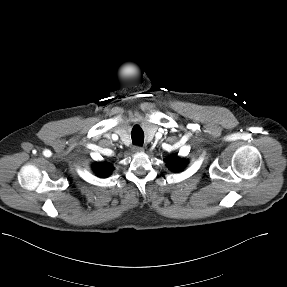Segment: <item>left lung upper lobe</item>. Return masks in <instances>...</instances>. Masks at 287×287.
<instances>
[{"label":"left lung upper lobe","instance_id":"left-lung-upper-lobe-1","mask_svg":"<svg viewBox=\"0 0 287 287\" xmlns=\"http://www.w3.org/2000/svg\"><path fill=\"white\" fill-rule=\"evenodd\" d=\"M188 161L185 159H181L176 155L171 156L167 161V166L174 172H179L185 168Z\"/></svg>","mask_w":287,"mask_h":287}]
</instances>
